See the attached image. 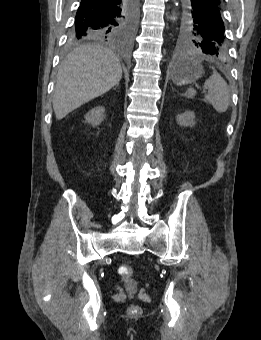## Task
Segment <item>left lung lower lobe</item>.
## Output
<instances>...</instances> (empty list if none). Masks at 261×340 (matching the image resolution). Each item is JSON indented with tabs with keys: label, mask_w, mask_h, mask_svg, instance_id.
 I'll use <instances>...</instances> for the list:
<instances>
[{
	"label": "left lung lower lobe",
	"mask_w": 261,
	"mask_h": 340,
	"mask_svg": "<svg viewBox=\"0 0 261 340\" xmlns=\"http://www.w3.org/2000/svg\"><path fill=\"white\" fill-rule=\"evenodd\" d=\"M192 9L204 18L215 17L223 12L221 0H190Z\"/></svg>",
	"instance_id": "0a47b994"
}]
</instances>
